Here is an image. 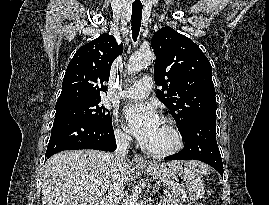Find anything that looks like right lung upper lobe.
<instances>
[{"mask_svg":"<svg viewBox=\"0 0 269 205\" xmlns=\"http://www.w3.org/2000/svg\"><path fill=\"white\" fill-rule=\"evenodd\" d=\"M122 50L108 33L80 47L67 67L56 107L101 100L107 90L103 82L109 80L111 65Z\"/></svg>","mask_w":269,"mask_h":205,"instance_id":"1","label":"right lung upper lobe"}]
</instances>
